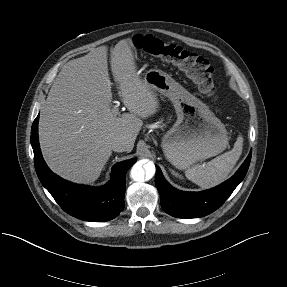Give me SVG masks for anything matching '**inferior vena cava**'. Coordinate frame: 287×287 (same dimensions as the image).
<instances>
[{
    "label": "inferior vena cava",
    "instance_id": "obj_1",
    "mask_svg": "<svg viewBox=\"0 0 287 287\" xmlns=\"http://www.w3.org/2000/svg\"><path fill=\"white\" fill-rule=\"evenodd\" d=\"M110 147L113 151L124 152L127 147V143L123 138L115 137L110 141Z\"/></svg>",
    "mask_w": 287,
    "mask_h": 287
}]
</instances>
